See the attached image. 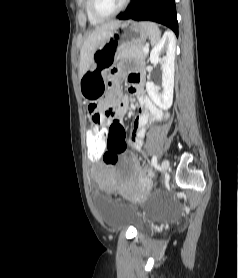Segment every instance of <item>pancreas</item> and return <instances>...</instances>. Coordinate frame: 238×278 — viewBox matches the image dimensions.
<instances>
[{
    "instance_id": "pancreas-1",
    "label": "pancreas",
    "mask_w": 238,
    "mask_h": 278,
    "mask_svg": "<svg viewBox=\"0 0 238 278\" xmlns=\"http://www.w3.org/2000/svg\"><path fill=\"white\" fill-rule=\"evenodd\" d=\"M143 48L144 45L141 44L127 45L119 51L118 58H136L143 60L147 56Z\"/></svg>"
}]
</instances>
